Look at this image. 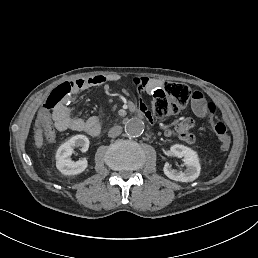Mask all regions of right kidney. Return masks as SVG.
Returning a JSON list of instances; mask_svg holds the SVG:
<instances>
[{"instance_id": "right-kidney-1", "label": "right kidney", "mask_w": 258, "mask_h": 258, "mask_svg": "<svg viewBox=\"0 0 258 258\" xmlns=\"http://www.w3.org/2000/svg\"><path fill=\"white\" fill-rule=\"evenodd\" d=\"M80 147L81 152L86 153L89 148V139L85 135H75L63 143L56 152V165L63 174H78L87 167L86 157L78 161L70 159L75 148Z\"/></svg>"}]
</instances>
